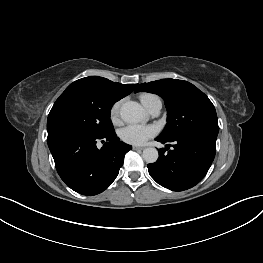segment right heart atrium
Listing matches in <instances>:
<instances>
[{
  "label": "right heart atrium",
  "instance_id": "d8ad5b80",
  "mask_svg": "<svg viewBox=\"0 0 263 263\" xmlns=\"http://www.w3.org/2000/svg\"><path fill=\"white\" fill-rule=\"evenodd\" d=\"M121 102L117 101L115 102L111 108H110V119L114 124H117L119 122V110H120Z\"/></svg>",
  "mask_w": 263,
  "mask_h": 263
}]
</instances>
